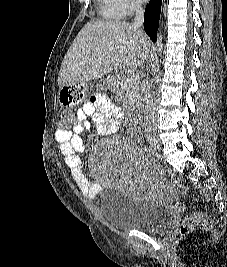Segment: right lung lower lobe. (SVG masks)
<instances>
[{"label":"right lung lower lobe","mask_w":227,"mask_h":267,"mask_svg":"<svg viewBox=\"0 0 227 267\" xmlns=\"http://www.w3.org/2000/svg\"><path fill=\"white\" fill-rule=\"evenodd\" d=\"M161 3L162 0H150L145 8L144 30L154 42H156Z\"/></svg>","instance_id":"1"}]
</instances>
